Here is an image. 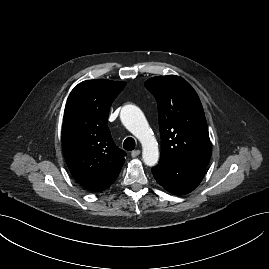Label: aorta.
<instances>
[{
  "label": "aorta",
  "instance_id": "obj_1",
  "mask_svg": "<svg viewBox=\"0 0 269 269\" xmlns=\"http://www.w3.org/2000/svg\"><path fill=\"white\" fill-rule=\"evenodd\" d=\"M120 118L123 125L142 144V157L147 166H155L159 160L158 143L143 112L134 105H126L122 108Z\"/></svg>",
  "mask_w": 269,
  "mask_h": 269
}]
</instances>
